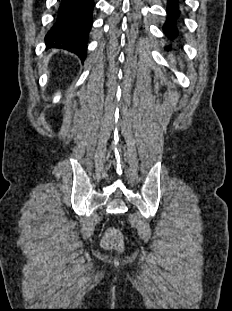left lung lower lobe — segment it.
<instances>
[{"mask_svg": "<svg viewBox=\"0 0 232 311\" xmlns=\"http://www.w3.org/2000/svg\"><path fill=\"white\" fill-rule=\"evenodd\" d=\"M167 21L163 27V31L171 40L178 36L177 20L180 16L179 1L168 0L167 4Z\"/></svg>", "mask_w": 232, "mask_h": 311, "instance_id": "left-lung-lower-lobe-1", "label": "left lung lower lobe"}]
</instances>
